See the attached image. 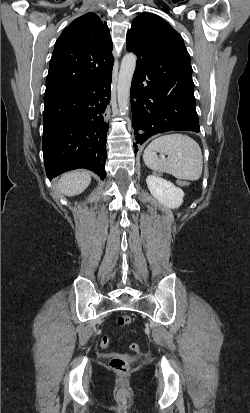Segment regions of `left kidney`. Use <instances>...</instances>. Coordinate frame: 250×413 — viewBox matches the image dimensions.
Wrapping results in <instances>:
<instances>
[{
	"label": "left kidney",
	"mask_w": 250,
	"mask_h": 413,
	"mask_svg": "<svg viewBox=\"0 0 250 413\" xmlns=\"http://www.w3.org/2000/svg\"><path fill=\"white\" fill-rule=\"evenodd\" d=\"M146 183L153 197L164 206L175 209L179 208L183 203L184 192L173 183L156 174L149 175L146 179Z\"/></svg>",
	"instance_id": "1"
}]
</instances>
